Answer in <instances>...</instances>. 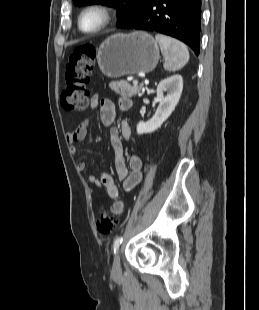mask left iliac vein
I'll list each match as a JSON object with an SVG mask.
<instances>
[{
  "mask_svg": "<svg viewBox=\"0 0 259 310\" xmlns=\"http://www.w3.org/2000/svg\"><path fill=\"white\" fill-rule=\"evenodd\" d=\"M121 272L120 252L117 251L113 261L112 273L119 274Z\"/></svg>",
  "mask_w": 259,
  "mask_h": 310,
  "instance_id": "left-iliac-vein-1",
  "label": "left iliac vein"
}]
</instances>
